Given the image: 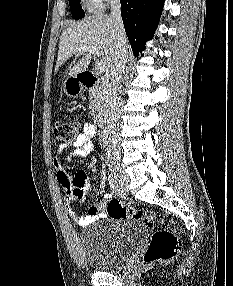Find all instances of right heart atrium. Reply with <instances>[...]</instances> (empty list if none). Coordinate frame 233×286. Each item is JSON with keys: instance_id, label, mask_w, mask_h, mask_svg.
<instances>
[{"instance_id": "obj_1", "label": "right heart atrium", "mask_w": 233, "mask_h": 286, "mask_svg": "<svg viewBox=\"0 0 233 286\" xmlns=\"http://www.w3.org/2000/svg\"><path fill=\"white\" fill-rule=\"evenodd\" d=\"M89 6L95 10H101L104 8L105 3L109 0H86Z\"/></svg>"}]
</instances>
